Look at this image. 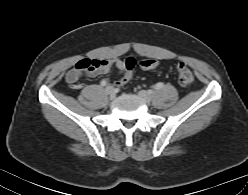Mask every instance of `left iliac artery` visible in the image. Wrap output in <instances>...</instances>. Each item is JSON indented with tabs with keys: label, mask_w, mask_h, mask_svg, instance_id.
<instances>
[{
	"label": "left iliac artery",
	"mask_w": 248,
	"mask_h": 195,
	"mask_svg": "<svg viewBox=\"0 0 248 195\" xmlns=\"http://www.w3.org/2000/svg\"><path fill=\"white\" fill-rule=\"evenodd\" d=\"M163 86L164 84L162 82H159L154 86V89H161Z\"/></svg>",
	"instance_id": "left-iliac-artery-1"
}]
</instances>
